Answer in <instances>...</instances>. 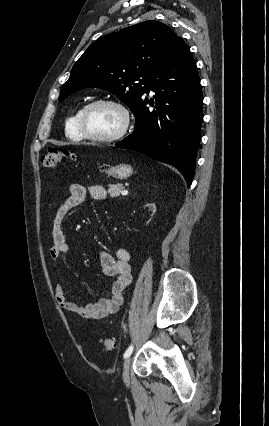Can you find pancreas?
I'll return each mask as SVG.
<instances>
[{
    "instance_id": "obj_1",
    "label": "pancreas",
    "mask_w": 269,
    "mask_h": 426,
    "mask_svg": "<svg viewBox=\"0 0 269 426\" xmlns=\"http://www.w3.org/2000/svg\"><path fill=\"white\" fill-rule=\"evenodd\" d=\"M124 186L122 184H109L108 193L111 197H118L120 196L121 192L123 191Z\"/></svg>"
}]
</instances>
